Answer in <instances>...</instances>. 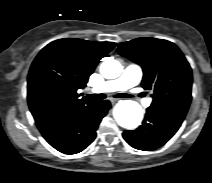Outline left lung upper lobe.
Segmentation results:
<instances>
[{
    "label": "left lung upper lobe",
    "instance_id": "5c2ea615",
    "mask_svg": "<svg viewBox=\"0 0 212 183\" xmlns=\"http://www.w3.org/2000/svg\"><path fill=\"white\" fill-rule=\"evenodd\" d=\"M117 52L142 67V86L153 91L151 106L187 113L192 98V70L174 43L138 38L119 44Z\"/></svg>",
    "mask_w": 212,
    "mask_h": 183
}]
</instances>
